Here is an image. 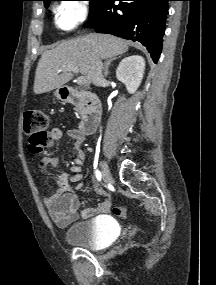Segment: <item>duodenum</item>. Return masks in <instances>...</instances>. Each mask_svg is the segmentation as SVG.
I'll return each mask as SVG.
<instances>
[{
    "instance_id": "1",
    "label": "duodenum",
    "mask_w": 216,
    "mask_h": 285,
    "mask_svg": "<svg viewBox=\"0 0 216 285\" xmlns=\"http://www.w3.org/2000/svg\"><path fill=\"white\" fill-rule=\"evenodd\" d=\"M61 97L66 102L82 104L84 113L80 125L81 131L85 134L95 131L102 110L99 98L94 93L73 87L62 88Z\"/></svg>"
}]
</instances>
